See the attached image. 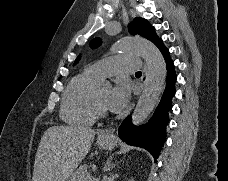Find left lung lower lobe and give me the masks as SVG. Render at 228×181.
<instances>
[{
    "mask_svg": "<svg viewBox=\"0 0 228 181\" xmlns=\"http://www.w3.org/2000/svg\"><path fill=\"white\" fill-rule=\"evenodd\" d=\"M155 45L162 52L167 63L166 88L159 105L148 123L135 127L131 123V116H128L119 127V137L129 145L148 150L154 158H157L166 138L165 127L168 121V111L172 107L171 98L175 95L174 84L176 82V74L168 49L163 45L161 39Z\"/></svg>",
    "mask_w": 228,
    "mask_h": 181,
    "instance_id": "0a47b994",
    "label": "left lung lower lobe"
}]
</instances>
